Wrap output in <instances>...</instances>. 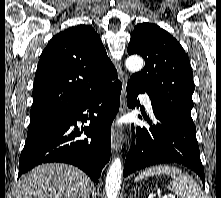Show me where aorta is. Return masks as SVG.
I'll use <instances>...</instances> for the list:
<instances>
[{"label":"aorta","mask_w":221,"mask_h":198,"mask_svg":"<svg viewBox=\"0 0 221 198\" xmlns=\"http://www.w3.org/2000/svg\"><path fill=\"white\" fill-rule=\"evenodd\" d=\"M126 67L131 72H138L143 67V60L137 55L127 58ZM122 163L119 157L115 158L109 167L106 176L105 190L107 198H117L121 187Z\"/></svg>","instance_id":"762f6f07"}]
</instances>
